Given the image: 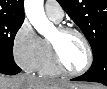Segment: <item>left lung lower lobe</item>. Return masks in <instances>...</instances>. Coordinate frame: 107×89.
Masks as SVG:
<instances>
[{"instance_id": "obj_1", "label": "left lung lower lobe", "mask_w": 107, "mask_h": 89, "mask_svg": "<svg viewBox=\"0 0 107 89\" xmlns=\"http://www.w3.org/2000/svg\"><path fill=\"white\" fill-rule=\"evenodd\" d=\"M93 64L83 75L72 80L99 82L107 86V47L93 54Z\"/></svg>"}]
</instances>
